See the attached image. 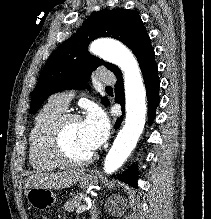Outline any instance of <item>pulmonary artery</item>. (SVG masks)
<instances>
[{
    "instance_id": "obj_1",
    "label": "pulmonary artery",
    "mask_w": 211,
    "mask_h": 219,
    "mask_svg": "<svg viewBox=\"0 0 211 219\" xmlns=\"http://www.w3.org/2000/svg\"><path fill=\"white\" fill-rule=\"evenodd\" d=\"M98 79L102 84H113L115 82V77L112 74L107 73L106 71L99 72ZM73 95L74 94L71 91L59 93L57 95H54L51 98V101L66 108L70 103Z\"/></svg>"
}]
</instances>
